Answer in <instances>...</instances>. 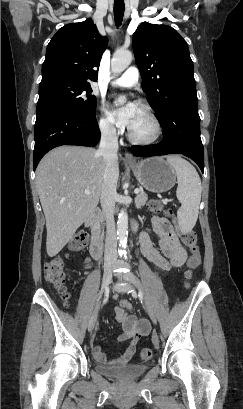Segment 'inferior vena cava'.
Segmentation results:
<instances>
[{
    "instance_id": "1",
    "label": "inferior vena cava",
    "mask_w": 243,
    "mask_h": 409,
    "mask_svg": "<svg viewBox=\"0 0 243 409\" xmlns=\"http://www.w3.org/2000/svg\"><path fill=\"white\" fill-rule=\"evenodd\" d=\"M117 151L118 137L116 129L112 125H104L101 129V140L97 152L103 157L105 165L100 197L101 207L106 219L105 264L115 263L117 260V239L114 221L118 180V174L114 165L117 160Z\"/></svg>"
}]
</instances>
